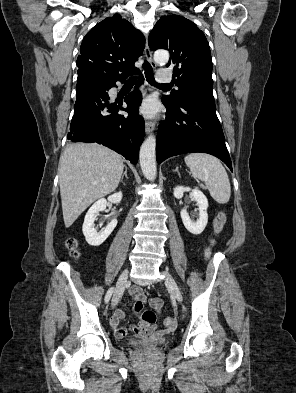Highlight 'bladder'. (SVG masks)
<instances>
[{
    "instance_id": "1",
    "label": "bladder",
    "mask_w": 296,
    "mask_h": 393,
    "mask_svg": "<svg viewBox=\"0 0 296 393\" xmlns=\"http://www.w3.org/2000/svg\"><path fill=\"white\" fill-rule=\"evenodd\" d=\"M170 342V338L166 335H157L151 341H143L141 343H132L135 346H147L151 345L153 347L164 346Z\"/></svg>"
}]
</instances>
